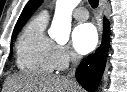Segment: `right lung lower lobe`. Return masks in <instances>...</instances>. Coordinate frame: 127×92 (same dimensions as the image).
<instances>
[{
	"label": "right lung lower lobe",
	"mask_w": 127,
	"mask_h": 92,
	"mask_svg": "<svg viewBox=\"0 0 127 92\" xmlns=\"http://www.w3.org/2000/svg\"><path fill=\"white\" fill-rule=\"evenodd\" d=\"M109 47V22L104 20L103 40L93 55L87 56L79 64L76 78L88 92H94L102 77Z\"/></svg>",
	"instance_id": "1"
}]
</instances>
